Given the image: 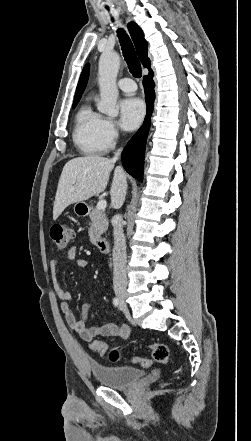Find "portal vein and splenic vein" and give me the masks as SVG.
Here are the masks:
<instances>
[{"mask_svg":"<svg viewBox=\"0 0 251 441\" xmlns=\"http://www.w3.org/2000/svg\"><path fill=\"white\" fill-rule=\"evenodd\" d=\"M106 206H107V202H106V200H100V201L97 203L96 208L99 209V210H104V209L106 208Z\"/></svg>","mask_w":251,"mask_h":441,"instance_id":"portal-vein-and-splenic-vein-1","label":"portal vein and splenic vein"}]
</instances>
